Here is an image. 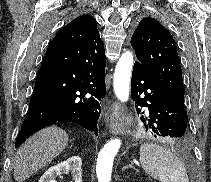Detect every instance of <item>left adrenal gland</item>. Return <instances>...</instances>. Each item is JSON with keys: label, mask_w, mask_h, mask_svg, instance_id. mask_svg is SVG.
Wrapping results in <instances>:
<instances>
[{"label": "left adrenal gland", "mask_w": 211, "mask_h": 182, "mask_svg": "<svg viewBox=\"0 0 211 182\" xmlns=\"http://www.w3.org/2000/svg\"><path fill=\"white\" fill-rule=\"evenodd\" d=\"M128 168H132V169H136L134 166H133V162H131L129 165H126L125 167H123V171L128 169Z\"/></svg>", "instance_id": "obj_1"}]
</instances>
